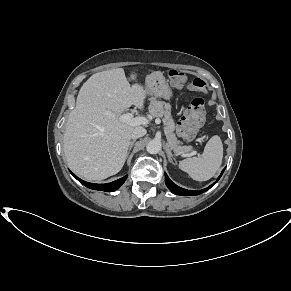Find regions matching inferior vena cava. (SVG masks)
Masks as SVG:
<instances>
[{"mask_svg":"<svg viewBox=\"0 0 291 291\" xmlns=\"http://www.w3.org/2000/svg\"><path fill=\"white\" fill-rule=\"evenodd\" d=\"M146 134V129L143 127H135L134 130L131 133V138L132 139H137L139 137H142Z\"/></svg>","mask_w":291,"mask_h":291,"instance_id":"602c4592","label":"inferior vena cava"}]
</instances>
